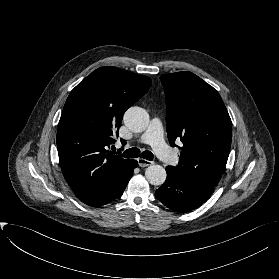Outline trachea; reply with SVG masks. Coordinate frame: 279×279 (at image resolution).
Masks as SVG:
<instances>
[{"mask_svg": "<svg viewBox=\"0 0 279 279\" xmlns=\"http://www.w3.org/2000/svg\"><path fill=\"white\" fill-rule=\"evenodd\" d=\"M123 156L126 158H137V157L141 156L143 159H146L149 161H152L154 158V155L152 154V152L146 150L141 153L138 148L127 149L123 153Z\"/></svg>", "mask_w": 279, "mask_h": 279, "instance_id": "1", "label": "trachea"}]
</instances>
